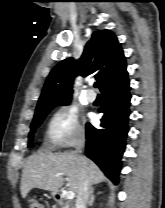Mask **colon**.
Masks as SVG:
<instances>
[{
    "label": "colon",
    "mask_w": 165,
    "mask_h": 208,
    "mask_svg": "<svg viewBox=\"0 0 165 208\" xmlns=\"http://www.w3.org/2000/svg\"><path fill=\"white\" fill-rule=\"evenodd\" d=\"M29 208H43V206L39 201L32 199L29 202Z\"/></svg>",
    "instance_id": "5ec220e1"
}]
</instances>
